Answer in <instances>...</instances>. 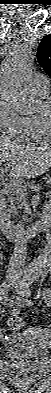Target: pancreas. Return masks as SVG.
Wrapping results in <instances>:
<instances>
[{
    "mask_svg": "<svg viewBox=\"0 0 51 393\" xmlns=\"http://www.w3.org/2000/svg\"><path fill=\"white\" fill-rule=\"evenodd\" d=\"M45 181L47 183L50 182V180L47 179V178L45 179ZM11 193L12 194L9 197V200L11 202V205L9 206L10 207L9 211L13 212L14 211V207H15L13 205H17L18 207H20V206L24 207L26 212H28V206H27V203H26L25 194L22 193V192H14V191H12Z\"/></svg>",
    "mask_w": 51,
    "mask_h": 393,
    "instance_id": "pancreas-1",
    "label": "pancreas"
}]
</instances>
